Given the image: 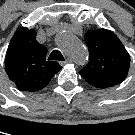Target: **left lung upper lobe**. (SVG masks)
I'll return each instance as SVG.
<instances>
[{"label":"left lung upper lobe","instance_id":"left-lung-upper-lobe-1","mask_svg":"<svg viewBox=\"0 0 135 135\" xmlns=\"http://www.w3.org/2000/svg\"><path fill=\"white\" fill-rule=\"evenodd\" d=\"M89 62L79 74L92 86L108 88L121 83L130 67V56L118 37L106 29L85 34Z\"/></svg>","mask_w":135,"mask_h":135}]
</instances>
